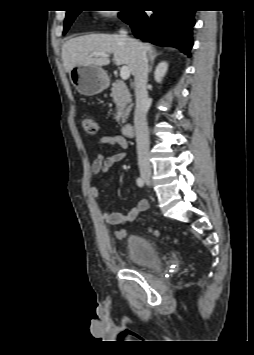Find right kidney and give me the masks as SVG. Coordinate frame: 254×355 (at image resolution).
<instances>
[{
    "mask_svg": "<svg viewBox=\"0 0 254 355\" xmlns=\"http://www.w3.org/2000/svg\"><path fill=\"white\" fill-rule=\"evenodd\" d=\"M167 69H168V63L165 61L160 62L157 65L154 72V78L156 82L160 83L162 81V78L165 76Z\"/></svg>",
    "mask_w": 254,
    "mask_h": 355,
    "instance_id": "right-kidney-1",
    "label": "right kidney"
}]
</instances>
